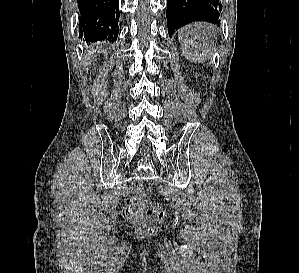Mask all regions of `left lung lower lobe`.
Listing matches in <instances>:
<instances>
[{"label": "left lung lower lobe", "mask_w": 299, "mask_h": 273, "mask_svg": "<svg viewBox=\"0 0 299 273\" xmlns=\"http://www.w3.org/2000/svg\"><path fill=\"white\" fill-rule=\"evenodd\" d=\"M221 7L220 0H167L166 17L169 36L194 21L220 24Z\"/></svg>", "instance_id": "obj_1"}]
</instances>
